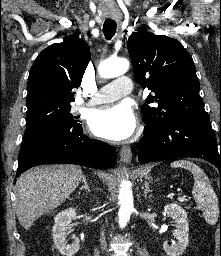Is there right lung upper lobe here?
Instances as JSON below:
<instances>
[{
  "label": "right lung upper lobe",
  "instance_id": "1",
  "mask_svg": "<svg viewBox=\"0 0 221 256\" xmlns=\"http://www.w3.org/2000/svg\"><path fill=\"white\" fill-rule=\"evenodd\" d=\"M84 40L69 37L44 49L31 67L27 83L28 110L40 106H69L90 61Z\"/></svg>",
  "mask_w": 221,
  "mask_h": 256
}]
</instances>
